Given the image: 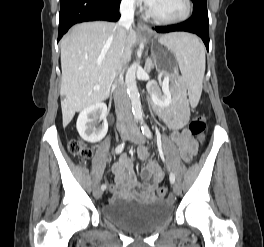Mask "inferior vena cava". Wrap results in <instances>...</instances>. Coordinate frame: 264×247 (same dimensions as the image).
Returning a JSON list of instances; mask_svg holds the SVG:
<instances>
[{"label": "inferior vena cava", "instance_id": "obj_1", "mask_svg": "<svg viewBox=\"0 0 264 247\" xmlns=\"http://www.w3.org/2000/svg\"><path fill=\"white\" fill-rule=\"evenodd\" d=\"M134 2L135 0H122L120 5V25L128 31L134 22ZM124 47H121V61L117 68L115 75V82L113 84L114 89V102L117 114V126H130L132 124L131 105L129 102L126 84L122 77V60H123Z\"/></svg>", "mask_w": 264, "mask_h": 247}]
</instances>
